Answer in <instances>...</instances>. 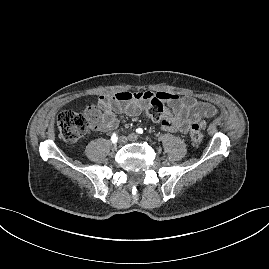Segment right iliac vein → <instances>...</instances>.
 Wrapping results in <instances>:
<instances>
[{
  "label": "right iliac vein",
  "instance_id": "right-iliac-vein-1",
  "mask_svg": "<svg viewBox=\"0 0 269 269\" xmlns=\"http://www.w3.org/2000/svg\"><path fill=\"white\" fill-rule=\"evenodd\" d=\"M126 142V138L125 137H120V139H119V145H122L123 143H125Z\"/></svg>",
  "mask_w": 269,
  "mask_h": 269
}]
</instances>
